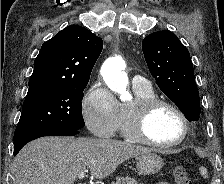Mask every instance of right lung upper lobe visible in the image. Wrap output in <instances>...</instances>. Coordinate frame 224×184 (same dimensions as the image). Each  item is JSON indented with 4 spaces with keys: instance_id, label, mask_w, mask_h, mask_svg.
Returning a JSON list of instances; mask_svg holds the SVG:
<instances>
[{
    "instance_id": "right-lung-upper-lobe-1",
    "label": "right lung upper lobe",
    "mask_w": 224,
    "mask_h": 184,
    "mask_svg": "<svg viewBox=\"0 0 224 184\" xmlns=\"http://www.w3.org/2000/svg\"><path fill=\"white\" fill-rule=\"evenodd\" d=\"M103 41L88 29L70 25L46 41L34 61L29 86L88 83Z\"/></svg>"
}]
</instances>
